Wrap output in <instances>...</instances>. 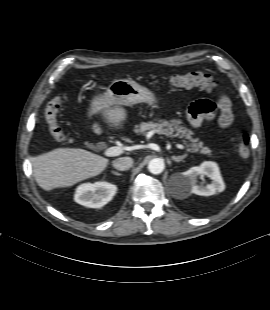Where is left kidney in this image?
<instances>
[{
	"label": "left kidney",
	"instance_id": "5707ae66",
	"mask_svg": "<svg viewBox=\"0 0 270 310\" xmlns=\"http://www.w3.org/2000/svg\"><path fill=\"white\" fill-rule=\"evenodd\" d=\"M209 177L212 182L206 186L199 185L197 178ZM181 187L185 193H194L200 196H211L225 190V184L218 165L212 161H205L200 166L192 167L183 172L180 178Z\"/></svg>",
	"mask_w": 270,
	"mask_h": 310
}]
</instances>
